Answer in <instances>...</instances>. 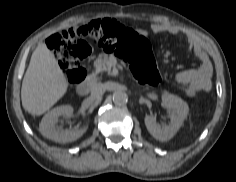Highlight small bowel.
Instances as JSON below:
<instances>
[{
  "mask_svg": "<svg viewBox=\"0 0 236 182\" xmlns=\"http://www.w3.org/2000/svg\"><path fill=\"white\" fill-rule=\"evenodd\" d=\"M151 30L155 34L169 33L172 35H182L186 42L187 52L193 53L199 60L197 67L184 69L177 73L176 78L181 85L183 94L189 98H194L199 94L208 92L211 87L212 65L201 40L171 24L155 23L152 24Z\"/></svg>",
  "mask_w": 236,
  "mask_h": 182,
  "instance_id": "c3829d8e",
  "label": "small bowel"
}]
</instances>
